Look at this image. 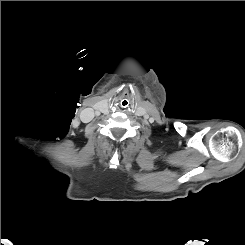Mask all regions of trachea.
<instances>
[{
    "label": "trachea",
    "mask_w": 245,
    "mask_h": 245,
    "mask_svg": "<svg viewBox=\"0 0 245 245\" xmlns=\"http://www.w3.org/2000/svg\"><path fill=\"white\" fill-rule=\"evenodd\" d=\"M130 102L128 99H122L121 102H120V106L122 108H127L129 106Z\"/></svg>",
    "instance_id": "obj_1"
}]
</instances>
